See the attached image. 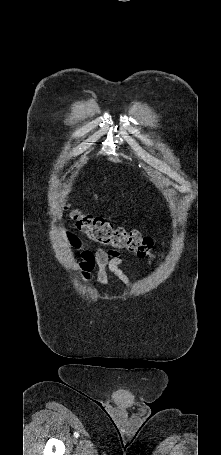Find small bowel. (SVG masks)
<instances>
[{"label": "small bowel", "instance_id": "1", "mask_svg": "<svg viewBox=\"0 0 221 455\" xmlns=\"http://www.w3.org/2000/svg\"><path fill=\"white\" fill-rule=\"evenodd\" d=\"M65 237L68 243L80 252V260L77 262L76 267L84 281L97 282L106 287L109 283L108 275L112 274L123 285H130L129 276L121 269V266L127 260L120 252L105 249L93 251L84 249L81 241L74 234L67 232Z\"/></svg>", "mask_w": 221, "mask_h": 455}]
</instances>
